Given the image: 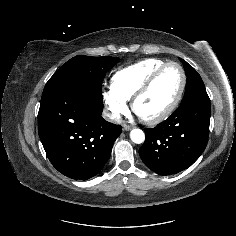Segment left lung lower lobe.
Wrapping results in <instances>:
<instances>
[{"mask_svg":"<svg viewBox=\"0 0 236 236\" xmlns=\"http://www.w3.org/2000/svg\"><path fill=\"white\" fill-rule=\"evenodd\" d=\"M210 124L208 95L192 98L154 128L145 129L139 149L142 161L160 175H172L193 164L206 148Z\"/></svg>","mask_w":236,"mask_h":236,"instance_id":"0a47b994","label":"left lung lower lobe"}]
</instances>
